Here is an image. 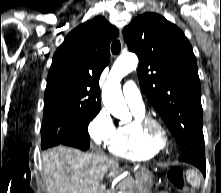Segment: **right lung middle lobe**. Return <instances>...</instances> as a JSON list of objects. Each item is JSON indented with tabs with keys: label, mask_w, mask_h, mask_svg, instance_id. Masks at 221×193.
Masks as SVG:
<instances>
[{
	"label": "right lung middle lobe",
	"mask_w": 221,
	"mask_h": 193,
	"mask_svg": "<svg viewBox=\"0 0 221 193\" xmlns=\"http://www.w3.org/2000/svg\"><path fill=\"white\" fill-rule=\"evenodd\" d=\"M100 110L44 112L41 148L65 144L86 150L90 145L87 126Z\"/></svg>",
	"instance_id": "obj_1"
}]
</instances>
